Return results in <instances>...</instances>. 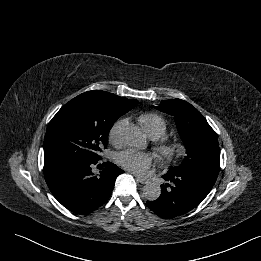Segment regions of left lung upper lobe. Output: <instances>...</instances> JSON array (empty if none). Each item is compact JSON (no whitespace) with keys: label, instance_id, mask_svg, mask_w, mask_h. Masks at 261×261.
Wrapping results in <instances>:
<instances>
[{"label":"left lung upper lobe","instance_id":"1","mask_svg":"<svg viewBox=\"0 0 261 261\" xmlns=\"http://www.w3.org/2000/svg\"><path fill=\"white\" fill-rule=\"evenodd\" d=\"M156 109L173 115L178 132L185 144L187 156L169 172L186 168H200L218 175L220 149L216 132L204 116L191 104L181 99L163 100Z\"/></svg>","mask_w":261,"mask_h":261}]
</instances>
